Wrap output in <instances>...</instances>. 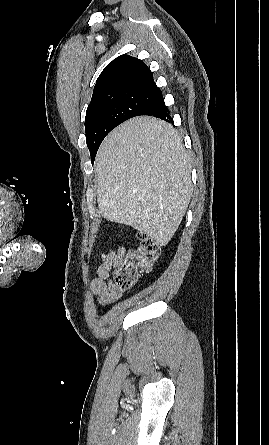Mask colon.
Listing matches in <instances>:
<instances>
[{"label":"colon","mask_w":269,"mask_h":445,"mask_svg":"<svg viewBox=\"0 0 269 445\" xmlns=\"http://www.w3.org/2000/svg\"><path fill=\"white\" fill-rule=\"evenodd\" d=\"M138 240L137 247L130 249L114 269V281L120 289L135 286L139 272L150 269L158 258L159 248L152 239L141 234Z\"/></svg>","instance_id":"obj_1"}]
</instances>
